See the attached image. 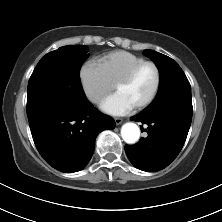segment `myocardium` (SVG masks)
<instances>
[{
	"label": "myocardium",
	"instance_id": "myocardium-1",
	"mask_svg": "<svg viewBox=\"0 0 222 222\" xmlns=\"http://www.w3.org/2000/svg\"><path fill=\"white\" fill-rule=\"evenodd\" d=\"M145 66H151L155 70L156 83H155V87H154L151 95L144 102H142L141 104H139L135 107L136 111L144 110L145 108L150 106L154 102V100L156 99V97L159 93V90H160V87H161V82H162V75H161V71H160L158 65L156 63L152 62V61H143V62L135 65L126 75H124L115 84V89H117L120 86H124V85L129 84L135 78V76L138 74V72L142 68H144Z\"/></svg>",
	"mask_w": 222,
	"mask_h": 222
}]
</instances>
